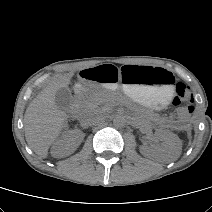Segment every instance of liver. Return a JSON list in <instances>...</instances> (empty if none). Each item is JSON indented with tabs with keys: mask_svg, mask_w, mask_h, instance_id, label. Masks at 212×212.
Listing matches in <instances>:
<instances>
[{
	"mask_svg": "<svg viewBox=\"0 0 212 212\" xmlns=\"http://www.w3.org/2000/svg\"><path fill=\"white\" fill-rule=\"evenodd\" d=\"M73 73L53 78L29 104L24 115L25 138L30 148L46 158L51 143L66 124L67 114L55 103V93L67 87Z\"/></svg>",
	"mask_w": 212,
	"mask_h": 212,
	"instance_id": "liver-1",
	"label": "liver"
}]
</instances>
